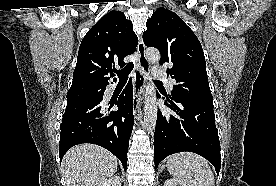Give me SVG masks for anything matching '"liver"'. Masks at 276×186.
Segmentation results:
<instances>
[{"mask_svg":"<svg viewBox=\"0 0 276 186\" xmlns=\"http://www.w3.org/2000/svg\"><path fill=\"white\" fill-rule=\"evenodd\" d=\"M117 158L94 144H82L67 151L62 160L67 186H102L116 172Z\"/></svg>","mask_w":276,"mask_h":186,"instance_id":"liver-1","label":"liver"}]
</instances>
